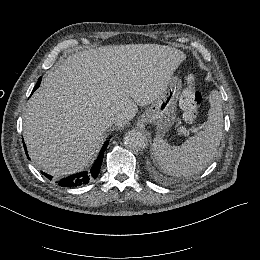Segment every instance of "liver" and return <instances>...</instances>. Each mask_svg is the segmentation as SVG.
Masks as SVG:
<instances>
[{"instance_id":"1","label":"liver","mask_w":260,"mask_h":260,"mask_svg":"<svg viewBox=\"0 0 260 260\" xmlns=\"http://www.w3.org/2000/svg\"><path fill=\"white\" fill-rule=\"evenodd\" d=\"M186 59L158 44L108 45L69 56L48 71L28 100L23 138L31 159L55 177L84 170L100 148L107 120L123 127L159 98Z\"/></svg>"}]
</instances>
